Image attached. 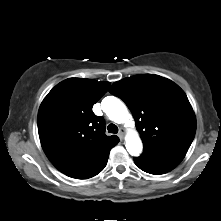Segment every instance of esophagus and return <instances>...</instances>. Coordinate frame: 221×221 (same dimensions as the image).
<instances>
[{
	"instance_id": "1",
	"label": "esophagus",
	"mask_w": 221,
	"mask_h": 221,
	"mask_svg": "<svg viewBox=\"0 0 221 221\" xmlns=\"http://www.w3.org/2000/svg\"><path fill=\"white\" fill-rule=\"evenodd\" d=\"M124 135H125V129H121L118 134L119 138L122 140L124 138Z\"/></svg>"
}]
</instances>
